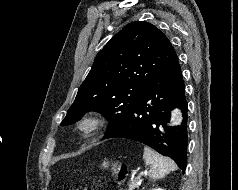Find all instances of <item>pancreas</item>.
Masks as SVG:
<instances>
[{"mask_svg": "<svg viewBox=\"0 0 238 190\" xmlns=\"http://www.w3.org/2000/svg\"><path fill=\"white\" fill-rule=\"evenodd\" d=\"M141 180L139 178L131 179L128 183L129 190H134L140 186Z\"/></svg>", "mask_w": 238, "mask_h": 190, "instance_id": "1", "label": "pancreas"}]
</instances>
